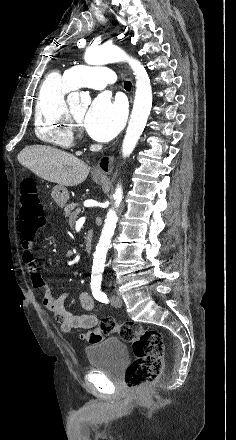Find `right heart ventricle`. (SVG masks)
I'll list each match as a JSON object with an SVG mask.
<instances>
[{"label":"right heart ventricle","instance_id":"right-heart-ventricle-1","mask_svg":"<svg viewBox=\"0 0 236 440\" xmlns=\"http://www.w3.org/2000/svg\"><path fill=\"white\" fill-rule=\"evenodd\" d=\"M73 88L65 75L51 73L43 81L36 99L35 133L43 142L60 149L70 148L74 141L65 101Z\"/></svg>","mask_w":236,"mask_h":440}]
</instances>
